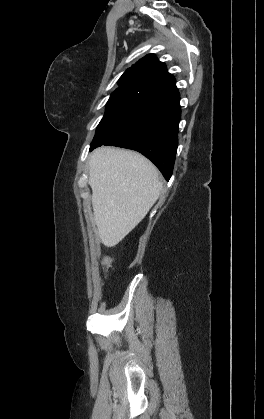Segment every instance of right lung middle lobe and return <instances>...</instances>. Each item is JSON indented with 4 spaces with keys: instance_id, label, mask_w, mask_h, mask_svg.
<instances>
[{
    "instance_id": "1",
    "label": "right lung middle lobe",
    "mask_w": 264,
    "mask_h": 419,
    "mask_svg": "<svg viewBox=\"0 0 264 419\" xmlns=\"http://www.w3.org/2000/svg\"><path fill=\"white\" fill-rule=\"evenodd\" d=\"M151 97L130 88L119 87L110 96L106 112L100 121L90 149L102 145L136 115L141 106Z\"/></svg>"
}]
</instances>
